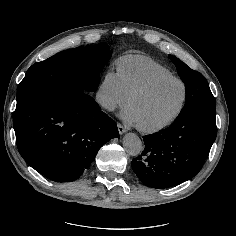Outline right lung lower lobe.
Here are the masks:
<instances>
[{"label":"right lung lower lobe","mask_w":236,"mask_h":236,"mask_svg":"<svg viewBox=\"0 0 236 236\" xmlns=\"http://www.w3.org/2000/svg\"><path fill=\"white\" fill-rule=\"evenodd\" d=\"M13 125L23 159L57 182L78 179L100 147L119 137L116 123L78 88L38 94L17 104Z\"/></svg>","instance_id":"98d812e1"}]
</instances>
